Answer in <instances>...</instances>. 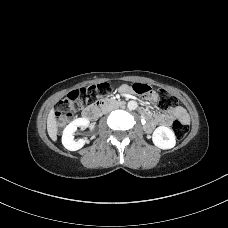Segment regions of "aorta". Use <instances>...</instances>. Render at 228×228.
I'll return each instance as SVG.
<instances>
[{"mask_svg": "<svg viewBox=\"0 0 228 228\" xmlns=\"http://www.w3.org/2000/svg\"><path fill=\"white\" fill-rule=\"evenodd\" d=\"M127 107L129 110H135L138 107V104L136 101H129L127 104Z\"/></svg>", "mask_w": 228, "mask_h": 228, "instance_id": "aorta-1", "label": "aorta"}]
</instances>
